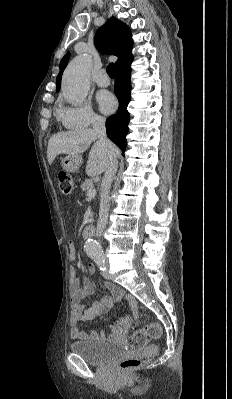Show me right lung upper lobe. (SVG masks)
Masks as SVG:
<instances>
[{"instance_id":"obj_1","label":"right lung upper lobe","mask_w":232,"mask_h":399,"mask_svg":"<svg viewBox=\"0 0 232 399\" xmlns=\"http://www.w3.org/2000/svg\"><path fill=\"white\" fill-rule=\"evenodd\" d=\"M95 46L101 53L115 55L118 60L115 67L133 58L132 34L129 27L115 17H111L95 34ZM69 52L63 57L59 65V74L56 78V89H60L61 78L69 60Z\"/></svg>"}]
</instances>
